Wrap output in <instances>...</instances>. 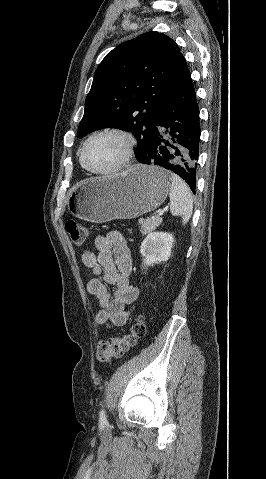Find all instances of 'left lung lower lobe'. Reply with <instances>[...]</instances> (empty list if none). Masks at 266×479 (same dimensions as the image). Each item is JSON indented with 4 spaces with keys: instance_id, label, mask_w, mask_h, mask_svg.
Returning a JSON list of instances; mask_svg holds the SVG:
<instances>
[{
    "instance_id": "obj_1",
    "label": "left lung lower lobe",
    "mask_w": 266,
    "mask_h": 479,
    "mask_svg": "<svg viewBox=\"0 0 266 479\" xmlns=\"http://www.w3.org/2000/svg\"><path fill=\"white\" fill-rule=\"evenodd\" d=\"M199 140V109L188 73L161 109L141 163L155 164L178 174L195 194Z\"/></svg>"
}]
</instances>
